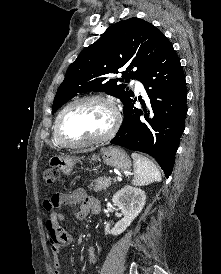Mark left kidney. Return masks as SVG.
<instances>
[{
	"label": "left kidney",
	"instance_id": "1",
	"mask_svg": "<svg viewBox=\"0 0 221 274\" xmlns=\"http://www.w3.org/2000/svg\"><path fill=\"white\" fill-rule=\"evenodd\" d=\"M145 200V192L132 186H125L115 193L112 202L121 210L123 218L111 229L110 224L107 223L105 225V234L117 236L123 233L142 211L145 205Z\"/></svg>",
	"mask_w": 221,
	"mask_h": 274
}]
</instances>
